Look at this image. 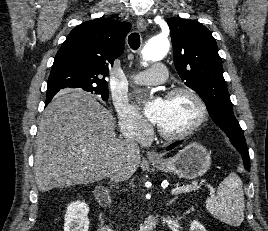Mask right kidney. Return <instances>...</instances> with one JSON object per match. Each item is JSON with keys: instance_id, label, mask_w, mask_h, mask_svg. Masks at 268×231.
<instances>
[{"instance_id": "right-kidney-1", "label": "right kidney", "mask_w": 268, "mask_h": 231, "mask_svg": "<svg viewBox=\"0 0 268 231\" xmlns=\"http://www.w3.org/2000/svg\"><path fill=\"white\" fill-rule=\"evenodd\" d=\"M89 207L84 201L72 202L64 217V231H88Z\"/></svg>"}]
</instances>
